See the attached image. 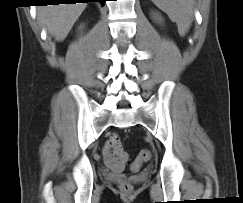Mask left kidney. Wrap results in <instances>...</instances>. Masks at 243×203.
Masks as SVG:
<instances>
[{
	"label": "left kidney",
	"instance_id": "left-kidney-1",
	"mask_svg": "<svg viewBox=\"0 0 243 203\" xmlns=\"http://www.w3.org/2000/svg\"><path fill=\"white\" fill-rule=\"evenodd\" d=\"M154 19H156L158 22H161V21H162V19H161V17L159 16V14H155V15H154Z\"/></svg>",
	"mask_w": 243,
	"mask_h": 203
}]
</instances>
